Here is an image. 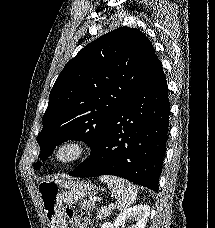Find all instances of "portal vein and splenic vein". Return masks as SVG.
Returning <instances> with one entry per match:
<instances>
[{
  "mask_svg": "<svg viewBox=\"0 0 215 228\" xmlns=\"http://www.w3.org/2000/svg\"><path fill=\"white\" fill-rule=\"evenodd\" d=\"M109 208H111V210H113V208H114L113 204H109Z\"/></svg>",
  "mask_w": 215,
  "mask_h": 228,
  "instance_id": "obj_1",
  "label": "portal vein and splenic vein"
}]
</instances>
